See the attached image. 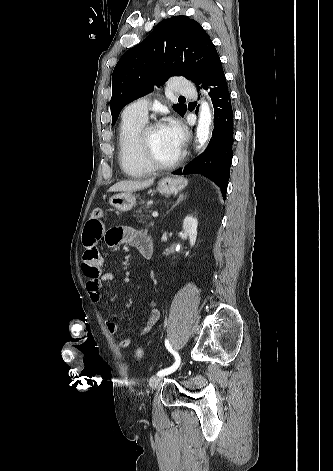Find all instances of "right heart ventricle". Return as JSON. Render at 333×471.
<instances>
[{
    "label": "right heart ventricle",
    "instance_id": "1",
    "mask_svg": "<svg viewBox=\"0 0 333 471\" xmlns=\"http://www.w3.org/2000/svg\"><path fill=\"white\" fill-rule=\"evenodd\" d=\"M146 121L123 116L118 131V160L123 172L132 178H143L154 169L144 160L139 148V136Z\"/></svg>",
    "mask_w": 333,
    "mask_h": 471
}]
</instances>
